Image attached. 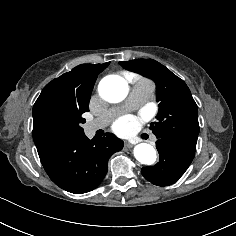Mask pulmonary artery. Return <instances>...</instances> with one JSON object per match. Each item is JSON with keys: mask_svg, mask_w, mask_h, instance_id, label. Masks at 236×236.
<instances>
[{"mask_svg": "<svg viewBox=\"0 0 236 236\" xmlns=\"http://www.w3.org/2000/svg\"><path fill=\"white\" fill-rule=\"evenodd\" d=\"M153 87L149 85L135 84L129 97L123 105L106 112L104 115L93 119L85 124L87 135H94L98 130L105 128L110 120L119 112L133 109L136 105H143L153 94Z\"/></svg>", "mask_w": 236, "mask_h": 236, "instance_id": "pulmonary-artery-1", "label": "pulmonary artery"}]
</instances>
